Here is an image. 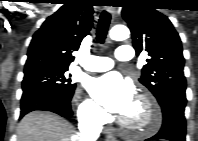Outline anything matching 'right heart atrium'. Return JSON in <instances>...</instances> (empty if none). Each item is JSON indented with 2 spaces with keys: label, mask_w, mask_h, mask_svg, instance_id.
<instances>
[{
  "label": "right heart atrium",
  "mask_w": 198,
  "mask_h": 141,
  "mask_svg": "<svg viewBox=\"0 0 198 141\" xmlns=\"http://www.w3.org/2000/svg\"><path fill=\"white\" fill-rule=\"evenodd\" d=\"M77 113L80 121L91 124L103 123L106 118L103 110L90 99H85L78 104Z\"/></svg>",
  "instance_id": "1"
}]
</instances>
